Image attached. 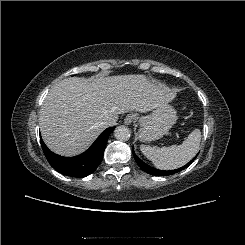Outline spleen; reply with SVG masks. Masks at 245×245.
<instances>
[{
	"instance_id": "3e777b00",
	"label": "spleen",
	"mask_w": 245,
	"mask_h": 245,
	"mask_svg": "<svg viewBox=\"0 0 245 245\" xmlns=\"http://www.w3.org/2000/svg\"><path fill=\"white\" fill-rule=\"evenodd\" d=\"M201 132L193 130L181 145L155 148L141 145L140 150L159 169H177L188 163L199 151Z\"/></svg>"
}]
</instances>
